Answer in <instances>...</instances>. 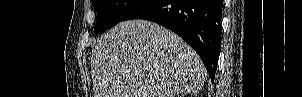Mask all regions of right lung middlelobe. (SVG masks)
I'll list each match as a JSON object with an SVG mask.
<instances>
[{"label": "right lung middle lobe", "mask_w": 302, "mask_h": 97, "mask_svg": "<svg viewBox=\"0 0 302 97\" xmlns=\"http://www.w3.org/2000/svg\"><path fill=\"white\" fill-rule=\"evenodd\" d=\"M141 0H92L97 11L94 32L101 33L122 21L126 13Z\"/></svg>", "instance_id": "obj_1"}]
</instances>
